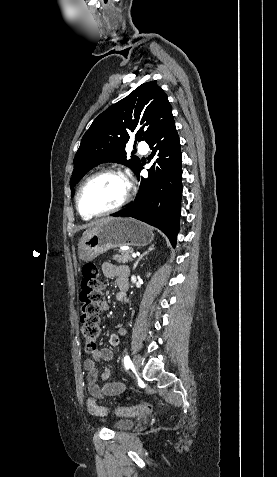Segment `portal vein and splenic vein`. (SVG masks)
Segmentation results:
<instances>
[{
  "mask_svg": "<svg viewBox=\"0 0 277 477\" xmlns=\"http://www.w3.org/2000/svg\"><path fill=\"white\" fill-rule=\"evenodd\" d=\"M137 254L135 252L132 253V257L136 258Z\"/></svg>",
  "mask_w": 277,
  "mask_h": 477,
  "instance_id": "portal-vein-and-splenic-vein-1",
  "label": "portal vein and splenic vein"
}]
</instances>
